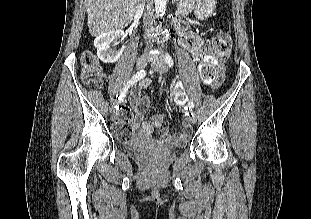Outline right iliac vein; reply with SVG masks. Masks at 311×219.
<instances>
[{"label":"right iliac vein","instance_id":"right-iliac-vein-1","mask_svg":"<svg viewBox=\"0 0 311 219\" xmlns=\"http://www.w3.org/2000/svg\"><path fill=\"white\" fill-rule=\"evenodd\" d=\"M146 64H147V58L145 56H142V57L138 58V60L136 62V68L137 69H143V68H145ZM112 113L114 116L118 115V111L115 109L112 110Z\"/></svg>","mask_w":311,"mask_h":219}]
</instances>
